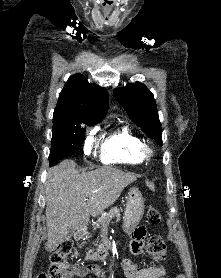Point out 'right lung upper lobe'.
<instances>
[{"label":"right lung upper lobe","instance_id":"cb5924a9","mask_svg":"<svg viewBox=\"0 0 221 278\" xmlns=\"http://www.w3.org/2000/svg\"><path fill=\"white\" fill-rule=\"evenodd\" d=\"M109 97L105 88L90 84L77 73L66 82L59 94L54 118L84 120L89 124L99 123L108 109Z\"/></svg>","mask_w":221,"mask_h":278}]
</instances>
